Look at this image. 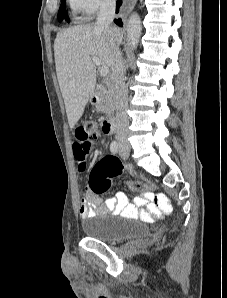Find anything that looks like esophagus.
I'll use <instances>...</instances> for the list:
<instances>
[{
  "label": "esophagus",
  "mask_w": 227,
  "mask_h": 298,
  "mask_svg": "<svg viewBox=\"0 0 227 298\" xmlns=\"http://www.w3.org/2000/svg\"><path fill=\"white\" fill-rule=\"evenodd\" d=\"M131 1H132V3H133L135 0H131ZM119 20H120L121 22H124V18H123L122 15L119 16Z\"/></svg>",
  "instance_id": "1"
}]
</instances>
